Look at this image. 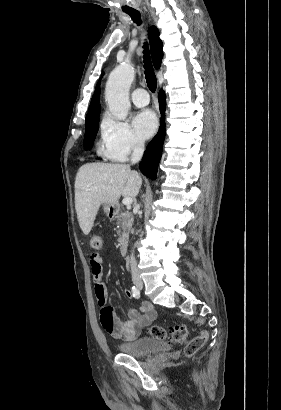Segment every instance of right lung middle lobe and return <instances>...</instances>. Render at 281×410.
Masks as SVG:
<instances>
[{"mask_svg":"<svg viewBox=\"0 0 281 410\" xmlns=\"http://www.w3.org/2000/svg\"><path fill=\"white\" fill-rule=\"evenodd\" d=\"M99 122V116L86 120L85 123V137H84V148L85 150H90L92 145H93V141L96 137V134L98 132V125Z\"/></svg>","mask_w":281,"mask_h":410,"instance_id":"obj_1","label":"right lung middle lobe"}]
</instances>
